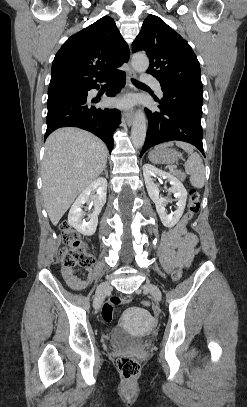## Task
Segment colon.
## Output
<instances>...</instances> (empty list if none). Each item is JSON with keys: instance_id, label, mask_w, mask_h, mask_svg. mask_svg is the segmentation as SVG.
I'll use <instances>...</instances> for the list:
<instances>
[{"instance_id": "colon-1", "label": "colon", "mask_w": 247, "mask_h": 407, "mask_svg": "<svg viewBox=\"0 0 247 407\" xmlns=\"http://www.w3.org/2000/svg\"><path fill=\"white\" fill-rule=\"evenodd\" d=\"M200 207V194L197 190L192 189L189 192V202L185 214L186 222L199 212ZM60 228L65 244V247L61 250L59 255V260L62 266L71 269L74 267H92L95 261L88 244L71 226L68 225L67 222H62ZM181 276L182 269L177 268L172 272L171 279L174 282H177L180 280ZM130 301V297H110L102 307L101 316L103 320L105 322H111L114 317V307L129 303ZM142 305L148 307L150 303L149 301L144 300L142 301ZM116 366L121 376L128 381L135 379L141 370L140 362L132 356L119 357Z\"/></svg>"}]
</instances>
